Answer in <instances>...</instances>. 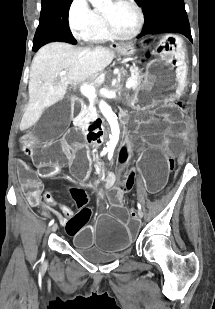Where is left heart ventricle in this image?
Returning <instances> with one entry per match:
<instances>
[{
	"label": "left heart ventricle",
	"mask_w": 215,
	"mask_h": 309,
	"mask_svg": "<svg viewBox=\"0 0 215 309\" xmlns=\"http://www.w3.org/2000/svg\"><path fill=\"white\" fill-rule=\"evenodd\" d=\"M109 15V23L114 25L115 29H131L133 15L128 9L118 7L116 10H110Z\"/></svg>",
	"instance_id": "obj_1"
}]
</instances>
